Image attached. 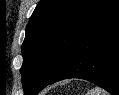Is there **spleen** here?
<instances>
[{"label": "spleen", "instance_id": "1", "mask_svg": "<svg viewBox=\"0 0 119 95\" xmlns=\"http://www.w3.org/2000/svg\"><path fill=\"white\" fill-rule=\"evenodd\" d=\"M86 95H109V93L100 87H95L94 89L89 90Z\"/></svg>", "mask_w": 119, "mask_h": 95}]
</instances>
